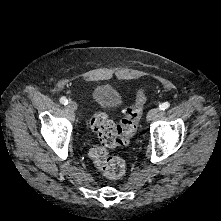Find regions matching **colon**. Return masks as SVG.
Instances as JSON below:
<instances>
[{
    "label": "colon",
    "mask_w": 221,
    "mask_h": 221,
    "mask_svg": "<svg viewBox=\"0 0 221 221\" xmlns=\"http://www.w3.org/2000/svg\"><path fill=\"white\" fill-rule=\"evenodd\" d=\"M146 96L143 89L135 91L132 105L124 110V117L115 125L105 113L96 112L91 119V128L98 135L101 145L93 147L89 156L94 165L109 179H117L124 175V161L108 152L109 148L126 146L135 135Z\"/></svg>",
    "instance_id": "colon-1"
}]
</instances>
